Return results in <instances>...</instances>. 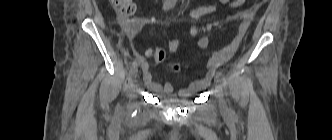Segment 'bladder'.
Masks as SVG:
<instances>
[{
    "label": "bladder",
    "mask_w": 332,
    "mask_h": 140,
    "mask_svg": "<svg viewBox=\"0 0 332 140\" xmlns=\"http://www.w3.org/2000/svg\"><path fill=\"white\" fill-rule=\"evenodd\" d=\"M192 98H185L181 100H172V101H167L166 104L171 105V106H184L189 103H191Z\"/></svg>",
    "instance_id": "1"
}]
</instances>
